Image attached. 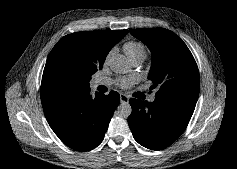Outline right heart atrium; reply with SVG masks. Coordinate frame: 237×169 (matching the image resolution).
<instances>
[{
    "label": "right heart atrium",
    "instance_id": "obj_1",
    "mask_svg": "<svg viewBox=\"0 0 237 169\" xmlns=\"http://www.w3.org/2000/svg\"><path fill=\"white\" fill-rule=\"evenodd\" d=\"M113 49L109 50V52L106 55V61L110 58V56L113 54Z\"/></svg>",
    "mask_w": 237,
    "mask_h": 169
}]
</instances>
